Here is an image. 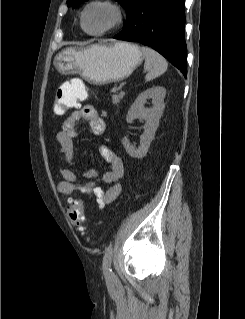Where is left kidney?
I'll return each instance as SVG.
<instances>
[{
    "label": "left kidney",
    "mask_w": 245,
    "mask_h": 319,
    "mask_svg": "<svg viewBox=\"0 0 245 319\" xmlns=\"http://www.w3.org/2000/svg\"><path fill=\"white\" fill-rule=\"evenodd\" d=\"M166 89L156 86L140 93L133 105L129 109L126 121L132 123L136 118L145 121L144 133L140 136V147L132 145L127 137L123 139V146L126 152L133 158H143L150 147V143L155 137V132L159 126V120L165 107L164 98ZM147 99H152V108H145Z\"/></svg>",
    "instance_id": "5707ae66"
}]
</instances>
